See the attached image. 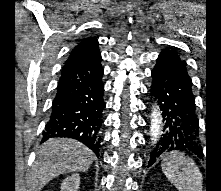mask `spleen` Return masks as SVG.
Instances as JSON below:
<instances>
[{"label":"spleen","instance_id":"1","mask_svg":"<svg viewBox=\"0 0 221 191\" xmlns=\"http://www.w3.org/2000/svg\"><path fill=\"white\" fill-rule=\"evenodd\" d=\"M166 178L179 191H202L203 177L194 161L181 153L171 152L162 161Z\"/></svg>","mask_w":221,"mask_h":191}]
</instances>
